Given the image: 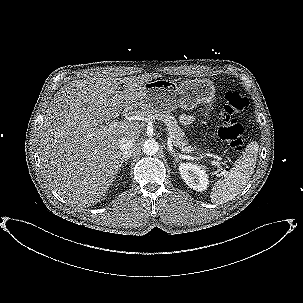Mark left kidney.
Listing matches in <instances>:
<instances>
[{
    "instance_id": "obj_1",
    "label": "left kidney",
    "mask_w": 303,
    "mask_h": 303,
    "mask_svg": "<svg viewBox=\"0 0 303 303\" xmlns=\"http://www.w3.org/2000/svg\"><path fill=\"white\" fill-rule=\"evenodd\" d=\"M179 171L182 179L190 188L200 192L207 188V174L199 166L183 163L179 165Z\"/></svg>"
}]
</instances>
